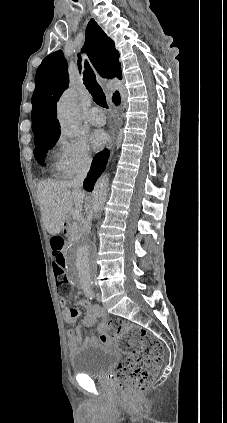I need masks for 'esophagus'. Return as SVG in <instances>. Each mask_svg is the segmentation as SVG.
I'll return each mask as SVG.
<instances>
[{
	"mask_svg": "<svg viewBox=\"0 0 227 423\" xmlns=\"http://www.w3.org/2000/svg\"><path fill=\"white\" fill-rule=\"evenodd\" d=\"M116 114H117V110L114 109V111L112 112V117L115 118L116 117Z\"/></svg>",
	"mask_w": 227,
	"mask_h": 423,
	"instance_id": "34e87169",
	"label": "esophagus"
}]
</instances>
